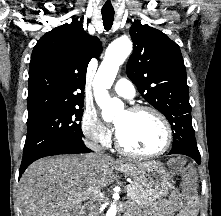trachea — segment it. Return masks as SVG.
<instances>
[{"instance_id": "3493384b", "label": "trachea", "mask_w": 221, "mask_h": 216, "mask_svg": "<svg viewBox=\"0 0 221 216\" xmlns=\"http://www.w3.org/2000/svg\"><path fill=\"white\" fill-rule=\"evenodd\" d=\"M102 19L104 28L109 31L112 27L113 20H114V10H102Z\"/></svg>"}]
</instances>
